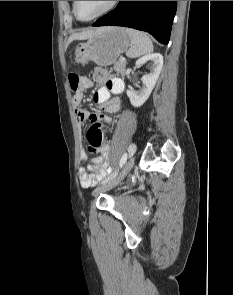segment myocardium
Here are the masks:
<instances>
[{
  "label": "myocardium",
  "mask_w": 233,
  "mask_h": 295,
  "mask_svg": "<svg viewBox=\"0 0 233 295\" xmlns=\"http://www.w3.org/2000/svg\"><path fill=\"white\" fill-rule=\"evenodd\" d=\"M120 1H111L110 4L105 8L103 9L101 12H99L98 14H96L95 16L91 17V18H88V19H83L81 18L78 13H77V4H78V1H74L73 3V11H74V15L76 16V18L82 22H90V21H93L109 12H111L114 8H116V6L119 4Z\"/></svg>",
  "instance_id": "myocardium-1"
}]
</instances>
